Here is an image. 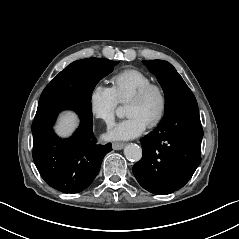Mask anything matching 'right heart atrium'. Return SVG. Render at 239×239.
<instances>
[{"label":"right heart atrium","instance_id":"d8ad5b80","mask_svg":"<svg viewBox=\"0 0 239 239\" xmlns=\"http://www.w3.org/2000/svg\"><path fill=\"white\" fill-rule=\"evenodd\" d=\"M119 99L112 86L95 83L88 93V105L94 118L111 124L119 106Z\"/></svg>","mask_w":239,"mask_h":239}]
</instances>
